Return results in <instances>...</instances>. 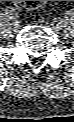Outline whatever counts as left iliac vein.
<instances>
[{
    "label": "left iliac vein",
    "instance_id": "obj_1",
    "mask_svg": "<svg viewBox=\"0 0 74 122\" xmlns=\"http://www.w3.org/2000/svg\"><path fill=\"white\" fill-rule=\"evenodd\" d=\"M45 26L49 27L54 33H59L60 27L55 23L42 22Z\"/></svg>",
    "mask_w": 74,
    "mask_h": 122
}]
</instances>
